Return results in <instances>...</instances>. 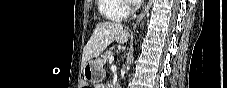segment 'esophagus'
<instances>
[{"label": "esophagus", "instance_id": "1", "mask_svg": "<svg viewBox=\"0 0 227 88\" xmlns=\"http://www.w3.org/2000/svg\"><path fill=\"white\" fill-rule=\"evenodd\" d=\"M152 4V0H149L148 3L146 4L144 10L140 13V15L137 18V22H140L146 15V13L148 12L150 6Z\"/></svg>", "mask_w": 227, "mask_h": 88}]
</instances>
